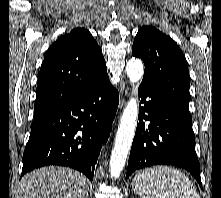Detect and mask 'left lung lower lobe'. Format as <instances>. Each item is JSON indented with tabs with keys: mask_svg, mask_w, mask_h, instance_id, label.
Instances as JSON below:
<instances>
[{
	"mask_svg": "<svg viewBox=\"0 0 221 198\" xmlns=\"http://www.w3.org/2000/svg\"><path fill=\"white\" fill-rule=\"evenodd\" d=\"M139 99L144 106L139 110L126 179L135 170L152 165H176L188 170L202 188L191 114L148 83H141Z\"/></svg>",
	"mask_w": 221,
	"mask_h": 198,
	"instance_id": "obj_1",
	"label": "left lung lower lobe"
}]
</instances>
